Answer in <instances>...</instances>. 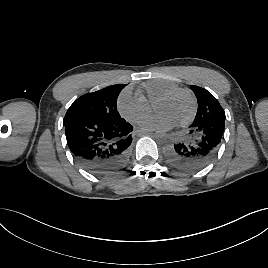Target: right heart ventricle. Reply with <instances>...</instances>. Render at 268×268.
Masks as SVG:
<instances>
[{"instance_id": "e07e8e85", "label": "right heart ventricle", "mask_w": 268, "mask_h": 268, "mask_svg": "<svg viewBox=\"0 0 268 268\" xmlns=\"http://www.w3.org/2000/svg\"><path fill=\"white\" fill-rule=\"evenodd\" d=\"M175 88H178L176 82L166 78H157L140 85L136 92L149 106H153L161 96Z\"/></svg>"}]
</instances>
